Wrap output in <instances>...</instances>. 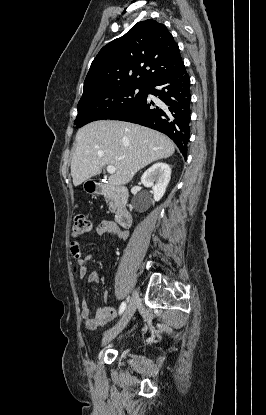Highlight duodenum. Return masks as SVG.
Wrapping results in <instances>:
<instances>
[{
  "mask_svg": "<svg viewBox=\"0 0 266 415\" xmlns=\"http://www.w3.org/2000/svg\"><path fill=\"white\" fill-rule=\"evenodd\" d=\"M90 192L96 195H110L115 201V221L122 228H128L132 223V216L126 206L128 191L126 188L109 183L91 182Z\"/></svg>",
  "mask_w": 266,
  "mask_h": 415,
  "instance_id": "410a0bca",
  "label": "duodenum"
}]
</instances>
